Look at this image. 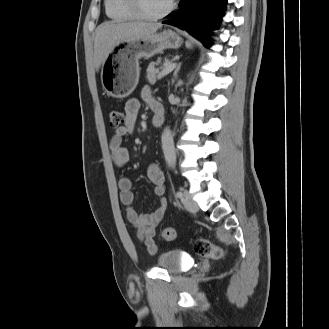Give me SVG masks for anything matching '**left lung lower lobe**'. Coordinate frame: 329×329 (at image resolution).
Segmentation results:
<instances>
[{"label": "left lung lower lobe", "mask_w": 329, "mask_h": 329, "mask_svg": "<svg viewBox=\"0 0 329 329\" xmlns=\"http://www.w3.org/2000/svg\"><path fill=\"white\" fill-rule=\"evenodd\" d=\"M227 0H181L180 9L162 23L188 31L202 41L206 47L211 45L208 34L216 29L225 10Z\"/></svg>", "instance_id": "0a47b994"}]
</instances>
